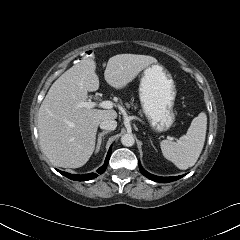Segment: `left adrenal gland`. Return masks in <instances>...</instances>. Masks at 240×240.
Returning a JSON list of instances; mask_svg holds the SVG:
<instances>
[{
  "instance_id": "1",
  "label": "left adrenal gland",
  "mask_w": 240,
  "mask_h": 240,
  "mask_svg": "<svg viewBox=\"0 0 240 240\" xmlns=\"http://www.w3.org/2000/svg\"><path fill=\"white\" fill-rule=\"evenodd\" d=\"M151 145L154 147V149H155V146L153 145V142L151 141Z\"/></svg>"
}]
</instances>
